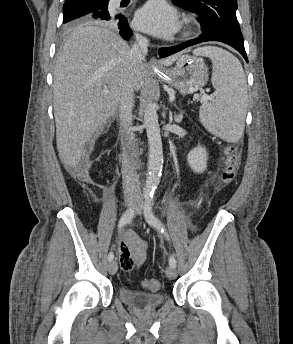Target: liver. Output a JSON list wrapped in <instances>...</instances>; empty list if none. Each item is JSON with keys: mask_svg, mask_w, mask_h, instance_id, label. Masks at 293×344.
<instances>
[{"mask_svg": "<svg viewBox=\"0 0 293 344\" xmlns=\"http://www.w3.org/2000/svg\"><path fill=\"white\" fill-rule=\"evenodd\" d=\"M130 50L116 33L96 25L79 27L65 41L54 70L53 98L57 150L66 168L78 166L85 144L117 111ZM181 55L162 62L169 66ZM146 79L142 63L134 89L139 91Z\"/></svg>", "mask_w": 293, "mask_h": 344, "instance_id": "6515ba94", "label": "liver"}]
</instances>
